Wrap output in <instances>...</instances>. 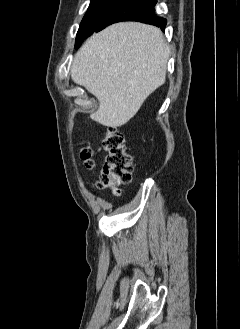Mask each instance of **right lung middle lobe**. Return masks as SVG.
Listing matches in <instances>:
<instances>
[{
  "instance_id": "dd1d6c3e",
  "label": "right lung middle lobe",
  "mask_w": 240,
  "mask_h": 329,
  "mask_svg": "<svg viewBox=\"0 0 240 329\" xmlns=\"http://www.w3.org/2000/svg\"><path fill=\"white\" fill-rule=\"evenodd\" d=\"M119 2L120 0H91L77 33L75 48L94 32L100 21Z\"/></svg>"
}]
</instances>
